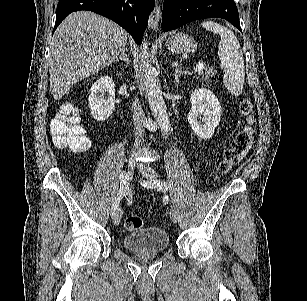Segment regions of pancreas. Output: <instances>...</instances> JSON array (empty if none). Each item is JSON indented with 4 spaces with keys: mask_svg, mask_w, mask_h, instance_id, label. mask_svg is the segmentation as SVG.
Segmentation results:
<instances>
[{
    "mask_svg": "<svg viewBox=\"0 0 307 301\" xmlns=\"http://www.w3.org/2000/svg\"><path fill=\"white\" fill-rule=\"evenodd\" d=\"M199 76L197 78H201V76H204V80L206 82H212L211 76H215L213 72V68H208V70H202V72H198Z\"/></svg>",
    "mask_w": 307,
    "mask_h": 301,
    "instance_id": "cf45deb5",
    "label": "pancreas"
}]
</instances>
